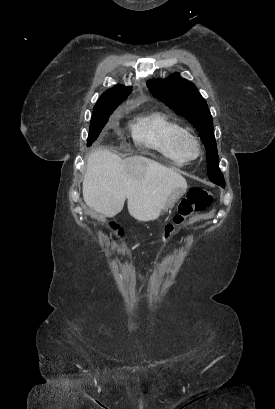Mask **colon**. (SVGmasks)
I'll list each match as a JSON object with an SVG mask.
<instances>
[{"mask_svg": "<svg viewBox=\"0 0 275 409\" xmlns=\"http://www.w3.org/2000/svg\"><path fill=\"white\" fill-rule=\"evenodd\" d=\"M213 200L214 196L210 191L201 188H193L181 200L178 213L174 215L172 221L166 224L164 228V237L166 239L171 238L176 227H180L184 220L192 216L194 213L202 212L203 215H208V207ZM109 231L114 234L117 239L122 237V228L119 225L111 226Z\"/></svg>", "mask_w": 275, "mask_h": 409, "instance_id": "5ec220e1", "label": "colon"}]
</instances>
